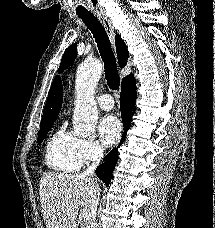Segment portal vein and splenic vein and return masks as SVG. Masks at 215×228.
I'll return each mask as SVG.
<instances>
[{
	"label": "portal vein and splenic vein",
	"instance_id": "1",
	"mask_svg": "<svg viewBox=\"0 0 215 228\" xmlns=\"http://www.w3.org/2000/svg\"><path fill=\"white\" fill-rule=\"evenodd\" d=\"M80 214H82V220H84V222H87V220H89L90 212H88V210H83V212H80Z\"/></svg>",
	"mask_w": 215,
	"mask_h": 228
}]
</instances>
